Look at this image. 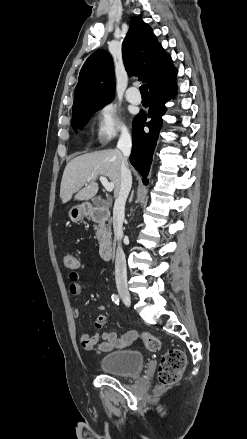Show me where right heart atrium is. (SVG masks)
Listing matches in <instances>:
<instances>
[{"mask_svg": "<svg viewBox=\"0 0 247 439\" xmlns=\"http://www.w3.org/2000/svg\"><path fill=\"white\" fill-rule=\"evenodd\" d=\"M95 122L96 139L100 145H107L118 136L128 135L120 111L113 103H106L96 111Z\"/></svg>", "mask_w": 247, "mask_h": 439, "instance_id": "right-heart-atrium-1", "label": "right heart atrium"}]
</instances>
